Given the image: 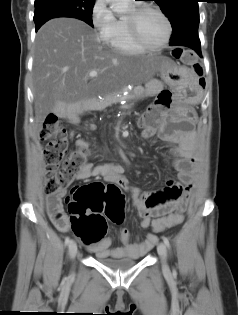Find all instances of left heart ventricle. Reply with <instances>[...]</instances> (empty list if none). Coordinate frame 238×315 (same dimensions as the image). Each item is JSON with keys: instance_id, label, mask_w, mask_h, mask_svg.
I'll list each match as a JSON object with an SVG mask.
<instances>
[{"instance_id": "obj_1", "label": "left heart ventricle", "mask_w": 238, "mask_h": 315, "mask_svg": "<svg viewBox=\"0 0 238 315\" xmlns=\"http://www.w3.org/2000/svg\"><path fill=\"white\" fill-rule=\"evenodd\" d=\"M140 36L149 45H158L166 37V25L155 12L148 11L141 15L138 21Z\"/></svg>"}]
</instances>
